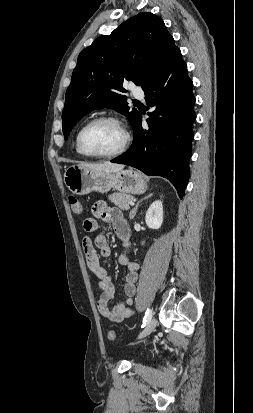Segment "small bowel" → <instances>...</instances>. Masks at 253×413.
<instances>
[{"label": "small bowel", "instance_id": "small-bowel-1", "mask_svg": "<svg viewBox=\"0 0 253 413\" xmlns=\"http://www.w3.org/2000/svg\"><path fill=\"white\" fill-rule=\"evenodd\" d=\"M92 215V217H88L83 221V228L87 233L96 232L99 227L97 219H101L111 224L116 235L127 245L130 237V228L118 208L109 206L105 201H97L92 206ZM82 248L87 266L96 277L99 288L97 301L99 313L110 322H122L131 317L134 314L132 305L136 294V282L139 277V264L132 261L126 253L120 254L118 261L127 269L124 277L126 300L124 303H118L110 308L108 304L113 298L115 290L111 277L100 262V257H108L111 254L107 238L103 234H98L93 241L90 236H85L82 241Z\"/></svg>", "mask_w": 253, "mask_h": 413}]
</instances>
